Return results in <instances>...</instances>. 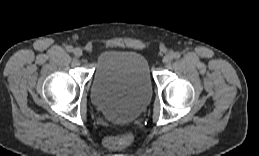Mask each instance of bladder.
<instances>
[{
	"label": "bladder",
	"instance_id": "1",
	"mask_svg": "<svg viewBox=\"0 0 259 156\" xmlns=\"http://www.w3.org/2000/svg\"><path fill=\"white\" fill-rule=\"evenodd\" d=\"M152 96L146 58L137 52L108 50L96 63L91 97L98 110L115 121L136 118Z\"/></svg>",
	"mask_w": 259,
	"mask_h": 156
}]
</instances>
